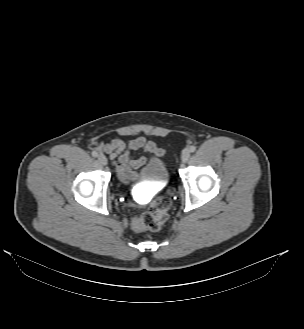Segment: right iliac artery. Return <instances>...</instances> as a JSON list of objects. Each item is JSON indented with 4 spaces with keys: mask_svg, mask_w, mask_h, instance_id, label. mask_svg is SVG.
<instances>
[{
    "mask_svg": "<svg viewBox=\"0 0 304 329\" xmlns=\"http://www.w3.org/2000/svg\"><path fill=\"white\" fill-rule=\"evenodd\" d=\"M91 154H92L93 157H97L98 156V153L96 151H92Z\"/></svg>",
    "mask_w": 304,
    "mask_h": 329,
    "instance_id": "right-iliac-artery-1",
    "label": "right iliac artery"
}]
</instances>
